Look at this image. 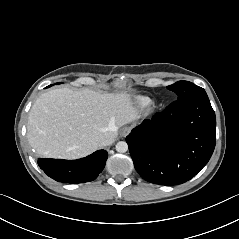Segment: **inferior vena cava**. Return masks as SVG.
Instances as JSON below:
<instances>
[{"label":"inferior vena cava","instance_id":"inferior-vena-cava-1","mask_svg":"<svg viewBox=\"0 0 239 239\" xmlns=\"http://www.w3.org/2000/svg\"><path fill=\"white\" fill-rule=\"evenodd\" d=\"M114 139L110 136H103L99 140L100 146H108L113 143Z\"/></svg>","mask_w":239,"mask_h":239}]
</instances>
